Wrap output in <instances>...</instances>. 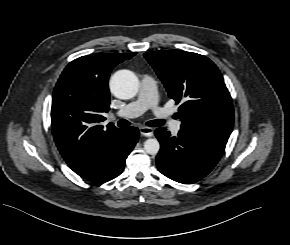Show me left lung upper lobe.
I'll return each mask as SVG.
<instances>
[{
    "instance_id": "5c2ea615",
    "label": "left lung upper lobe",
    "mask_w": 290,
    "mask_h": 245,
    "mask_svg": "<svg viewBox=\"0 0 290 245\" xmlns=\"http://www.w3.org/2000/svg\"><path fill=\"white\" fill-rule=\"evenodd\" d=\"M166 87L180 104L181 130L226 145L233 129L230 93L217 66L207 57L180 50L144 54Z\"/></svg>"
}]
</instances>
